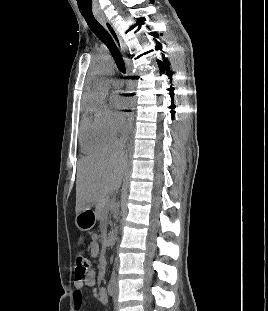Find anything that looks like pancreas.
<instances>
[{
	"label": "pancreas",
	"instance_id": "pancreas-1",
	"mask_svg": "<svg viewBox=\"0 0 268 311\" xmlns=\"http://www.w3.org/2000/svg\"><path fill=\"white\" fill-rule=\"evenodd\" d=\"M112 207L113 203L108 199H101L96 203L95 215L100 221L101 226L104 228L103 233H106L108 214Z\"/></svg>",
	"mask_w": 268,
	"mask_h": 311
}]
</instances>
